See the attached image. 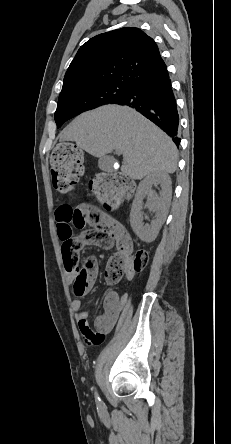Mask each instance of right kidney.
<instances>
[{
    "mask_svg": "<svg viewBox=\"0 0 231 444\" xmlns=\"http://www.w3.org/2000/svg\"><path fill=\"white\" fill-rule=\"evenodd\" d=\"M153 184H159V195L152 190ZM172 196L171 178L167 173L149 174L140 182L130 212V223L135 234L145 242L153 241L165 222ZM148 197L147 207L155 212V219L150 224L143 223V199Z\"/></svg>",
    "mask_w": 231,
    "mask_h": 444,
    "instance_id": "right-kidney-1",
    "label": "right kidney"
}]
</instances>
